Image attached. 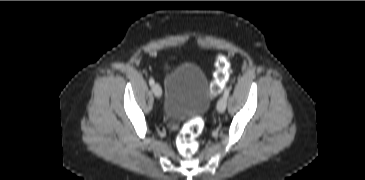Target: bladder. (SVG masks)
Here are the masks:
<instances>
[{"label": "bladder", "mask_w": 365, "mask_h": 180, "mask_svg": "<svg viewBox=\"0 0 365 180\" xmlns=\"http://www.w3.org/2000/svg\"><path fill=\"white\" fill-rule=\"evenodd\" d=\"M210 105L209 81L198 65L180 64L166 76L163 114L169 121L203 115Z\"/></svg>", "instance_id": "bladder-1"}]
</instances>
